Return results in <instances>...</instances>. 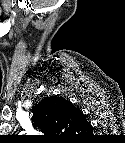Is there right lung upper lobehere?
Masks as SVG:
<instances>
[{"mask_svg":"<svg viewBox=\"0 0 125 143\" xmlns=\"http://www.w3.org/2000/svg\"><path fill=\"white\" fill-rule=\"evenodd\" d=\"M32 120L48 132L76 135L92 131L83 113L71 102L58 97H46L33 107Z\"/></svg>","mask_w":125,"mask_h":143,"instance_id":"obj_1","label":"right lung upper lobe"}]
</instances>
